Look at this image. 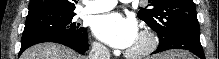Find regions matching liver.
Wrapping results in <instances>:
<instances>
[{"label":"liver","instance_id":"liver-1","mask_svg":"<svg viewBox=\"0 0 219 59\" xmlns=\"http://www.w3.org/2000/svg\"><path fill=\"white\" fill-rule=\"evenodd\" d=\"M20 59H86L73 50L53 43L32 46L20 56Z\"/></svg>","mask_w":219,"mask_h":59}]
</instances>
